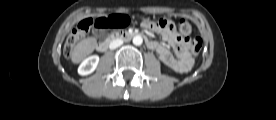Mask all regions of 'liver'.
Instances as JSON below:
<instances>
[{
    "mask_svg": "<svg viewBox=\"0 0 276 120\" xmlns=\"http://www.w3.org/2000/svg\"><path fill=\"white\" fill-rule=\"evenodd\" d=\"M96 41L93 38H87L79 42L70 52L72 63L76 64L83 60L87 55L93 52Z\"/></svg>",
    "mask_w": 276,
    "mask_h": 120,
    "instance_id": "6515ba94",
    "label": "liver"
}]
</instances>
